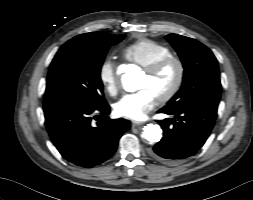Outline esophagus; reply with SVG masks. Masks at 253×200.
<instances>
[{"instance_id": "obj_1", "label": "esophagus", "mask_w": 253, "mask_h": 200, "mask_svg": "<svg viewBox=\"0 0 253 200\" xmlns=\"http://www.w3.org/2000/svg\"><path fill=\"white\" fill-rule=\"evenodd\" d=\"M142 125H143L142 123L133 122L131 126L132 128H135V127H140Z\"/></svg>"}]
</instances>
